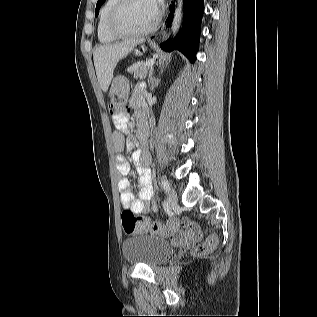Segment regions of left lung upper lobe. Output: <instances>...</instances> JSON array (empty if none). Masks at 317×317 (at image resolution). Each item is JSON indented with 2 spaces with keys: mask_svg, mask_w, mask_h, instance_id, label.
<instances>
[{
  "mask_svg": "<svg viewBox=\"0 0 317 317\" xmlns=\"http://www.w3.org/2000/svg\"><path fill=\"white\" fill-rule=\"evenodd\" d=\"M105 2V0H98L97 4H96V11H95V15L98 14L99 8L101 7V5Z\"/></svg>",
  "mask_w": 317,
  "mask_h": 317,
  "instance_id": "5c2ea615",
  "label": "left lung upper lobe"
}]
</instances>
